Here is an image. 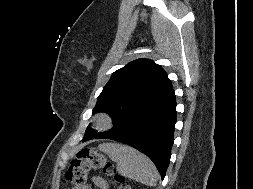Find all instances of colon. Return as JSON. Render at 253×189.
Returning a JSON list of instances; mask_svg holds the SVG:
<instances>
[{
  "label": "colon",
  "mask_w": 253,
  "mask_h": 189,
  "mask_svg": "<svg viewBox=\"0 0 253 189\" xmlns=\"http://www.w3.org/2000/svg\"><path fill=\"white\" fill-rule=\"evenodd\" d=\"M90 170L112 177L117 183V189H131L126 180L117 173L114 164L93 147H86L77 152L65 172V178L74 189H81Z\"/></svg>",
  "instance_id": "colon-1"
}]
</instances>
